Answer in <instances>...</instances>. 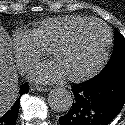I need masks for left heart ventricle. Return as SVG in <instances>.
I'll use <instances>...</instances> for the list:
<instances>
[{
  "label": "left heart ventricle",
  "mask_w": 125,
  "mask_h": 125,
  "mask_svg": "<svg viewBox=\"0 0 125 125\" xmlns=\"http://www.w3.org/2000/svg\"><path fill=\"white\" fill-rule=\"evenodd\" d=\"M106 43V32L98 24L82 27L59 47L54 58L67 76L78 75L93 67L100 59Z\"/></svg>",
  "instance_id": "1"
}]
</instances>
